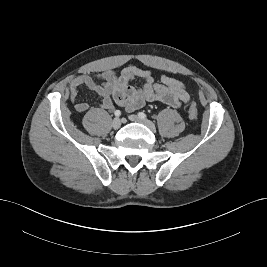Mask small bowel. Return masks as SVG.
I'll return each instance as SVG.
<instances>
[{"label":"small bowel","instance_id":"obj_1","mask_svg":"<svg viewBox=\"0 0 267 267\" xmlns=\"http://www.w3.org/2000/svg\"><path fill=\"white\" fill-rule=\"evenodd\" d=\"M134 79H141L144 84L136 88L131 85ZM82 86L97 93L100 98L99 107L104 110H112L116 104L127 111H134L142 108L147 102H161L176 108L190 100L181 81L167 75H162L160 80L156 81L151 70L127 66L120 74L111 69L95 76L82 74L72 79L70 99L79 113L89 110L87 103L77 101Z\"/></svg>","mask_w":267,"mask_h":267}]
</instances>
